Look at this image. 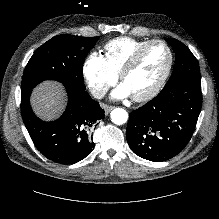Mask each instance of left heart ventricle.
Instances as JSON below:
<instances>
[{"label":"left heart ventricle","mask_w":219,"mask_h":219,"mask_svg":"<svg viewBox=\"0 0 219 219\" xmlns=\"http://www.w3.org/2000/svg\"><path fill=\"white\" fill-rule=\"evenodd\" d=\"M169 61L166 48L160 44L149 47L135 67L124 77L123 84L131 96L148 91L162 76Z\"/></svg>","instance_id":"1"}]
</instances>
